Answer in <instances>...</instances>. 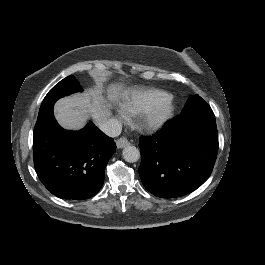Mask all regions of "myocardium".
<instances>
[{
  "instance_id": "obj_1",
  "label": "myocardium",
  "mask_w": 265,
  "mask_h": 265,
  "mask_svg": "<svg viewBox=\"0 0 265 265\" xmlns=\"http://www.w3.org/2000/svg\"><path fill=\"white\" fill-rule=\"evenodd\" d=\"M166 98V104L158 107V99ZM176 110V101L174 96L165 91H159L153 97L151 102L141 112L140 127L145 130H153L159 127L164 121L172 116Z\"/></svg>"
}]
</instances>
